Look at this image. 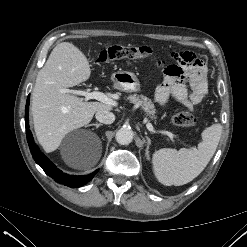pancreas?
Masks as SVG:
<instances>
[{
    "label": "pancreas",
    "instance_id": "obj_1",
    "mask_svg": "<svg viewBox=\"0 0 247 247\" xmlns=\"http://www.w3.org/2000/svg\"><path fill=\"white\" fill-rule=\"evenodd\" d=\"M127 100L135 105L140 106L150 119H156L154 104L146 96L131 94L127 97Z\"/></svg>",
    "mask_w": 247,
    "mask_h": 247
}]
</instances>
